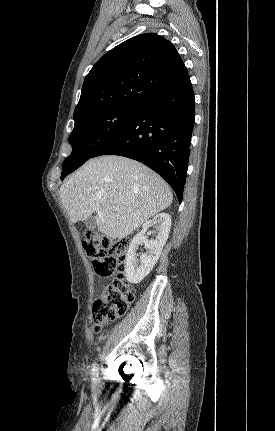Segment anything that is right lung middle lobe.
I'll use <instances>...</instances> for the list:
<instances>
[{
	"label": "right lung middle lobe",
	"instance_id": "1",
	"mask_svg": "<svg viewBox=\"0 0 275 431\" xmlns=\"http://www.w3.org/2000/svg\"><path fill=\"white\" fill-rule=\"evenodd\" d=\"M137 111L138 107H112L75 120L69 136L72 153L64 162L61 180L92 158L132 120Z\"/></svg>",
	"mask_w": 275,
	"mask_h": 431
}]
</instances>
